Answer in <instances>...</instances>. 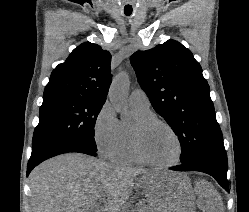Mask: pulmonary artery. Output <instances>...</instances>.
Segmentation results:
<instances>
[{
  "mask_svg": "<svg viewBox=\"0 0 249 212\" xmlns=\"http://www.w3.org/2000/svg\"><path fill=\"white\" fill-rule=\"evenodd\" d=\"M121 55L127 56L129 54H121ZM129 102H130V105L133 107H137V108L144 109V110L150 109L149 98L141 88H136L132 91Z\"/></svg>",
  "mask_w": 249,
  "mask_h": 212,
  "instance_id": "pulmonary-artery-1",
  "label": "pulmonary artery"
}]
</instances>
